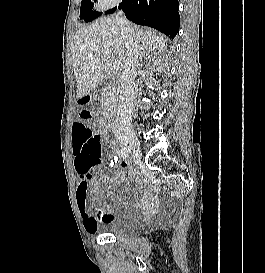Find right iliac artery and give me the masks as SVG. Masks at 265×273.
Returning <instances> with one entry per match:
<instances>
[{"label":"right iliac artery","mask_w":265,"mask_h":273,"mask_svg":"<svg viewBox=\"0 0 265 273\" xmlns=\"http://www.w3.org/2000/svg\"><path fill=\"white\" fill-rule=\"evenodd\" d=\"M129 153H130L129 148H122L117 150V154L124 159H127L129 157Z\"/></svg>","instance_id":"right-iliac-artery-1"}]
</instances>
